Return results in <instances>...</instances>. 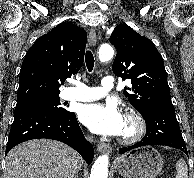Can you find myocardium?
<instances>
[{
	"label": "myocardium",
	"instance_id": "myocardium-1",
	"mask_svg": "<svg viewBox=\"0 0 194 178\" xmlns=\"http://www.w3.org/2000/svg\"><path fill=\"white\" fill-rule=\"evenodd\" d=\"M126 120H128L132 125V130L122 135L119 141L123 144H134L138 142L146 132V123L144 118L135 111H127L124 114Z\"/></svg>",
	"mask_w": 194,
	"mask_h": 178
}]
</instances>
